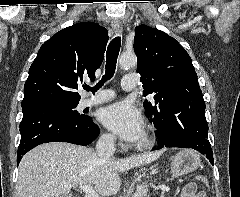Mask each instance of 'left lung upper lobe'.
I'll use <instances>...</instances> for the list:
<instances>
[{
    "mask_svg": "<svg viewBox=\"0 0 240 197\" xmlns=\"http://www.w3.org/2000/svg\"><path fill=\"white\" fill-rule=\"evenodd\" d=\"M134 50L143 94H152L155 100L143 103L149 119L160 111L177 110L186 98L203 99L192 60L177 40L158 29L139 25L135 28Z\"/></svg>",
    "mask_w": 240,
    "mask_h": 197,
    "instance_id": "left-lung-upper-lobe-1",
    "label": "left lung upper lobe"
}]
</instances>
